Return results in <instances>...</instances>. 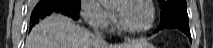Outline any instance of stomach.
<instances>
[{
    "label": "stomach",
    "mask_w": 213,
    "mask_h": 48,
    "mask_svg": "<svg viewBox=\"0 0 213 48\" xmlns=\"http://www.w3.org/2000/svg\"><path fill=\"white\" fill-rule=\"evenodd\" d=\"M137 48H155L153 45L149 44V45H145V46H141V47H137Z\"/></svg>",
    "instance_id": "1"
}]
</instances>
